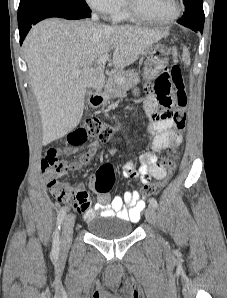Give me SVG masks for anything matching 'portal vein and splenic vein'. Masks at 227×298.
I'll return each instance as SVG.
<instances>
[{"label": "portal vein and splenic vein", "instance_id": "portal-vein-and-splenic-vein-1", "mask_svg": "<svg viewBox=\"0 0 227 298\" xmlns=\"http://www.w3.org/2000/svg\"><path fill=\"white\" fill-rule=\"evenodd\" d=\"M109 57L110 55L109 54H106V55H103L102 57H100L97 61H96V64L100 65V64H104L106 63L108 60H109ZM80 74V70H74L73 71V75L74 76H79ZM117 81H122L121 79H117Z\"/></svg>", "mask_w": 227, "mask_h": 298}]
</instances>
